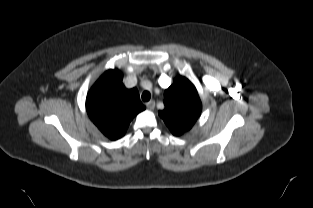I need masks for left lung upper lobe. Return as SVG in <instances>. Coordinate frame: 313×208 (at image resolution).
<instances>
[{
    "instance_id": "left-lung-upper-lobe-1",
    "label": "left lung upper lobe",
    "mask_w": 313,
    "mask_h": 208,
    "mask_svg": "<svg viewBox=\"0 0 313 208\" xmlns=\"http://www.w3.org/2000/svg\"><path fill=\"white\" fill-rule=\"evenodd\" d=\"M165 108L159 111L170 131L175 136L189 131L202 111L196 88L185 77L178 76L164 93Z\"/></svg>"
}]
</instances>
